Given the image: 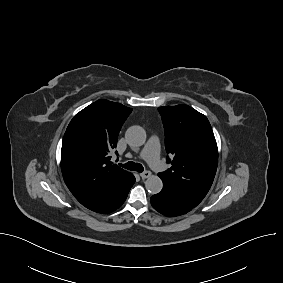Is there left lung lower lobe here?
Segmentation results:
<instances>
[{
    "instance_id": "0a47b994",
    "label": "left lung lower lobe",
    "mask_w": 283,
    "mask_h": 283,
    "mask_svg": "<svg viewBox=\"0 0 283 283\" xmlns=\"http://www.w3.org/2000/svg\"><path fill=\"white\" fill-rule=\"evenodd\" d=\"M150 201L154 209L169 217L188 213L196 207L186 200L179 191L164 182L162 191L152 196Z\"/></svg>"
}]
</instances>
